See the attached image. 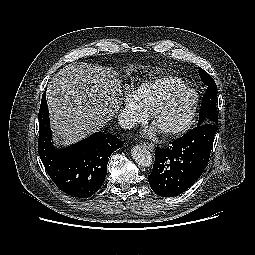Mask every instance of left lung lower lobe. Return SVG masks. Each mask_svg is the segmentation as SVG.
<instances>
[{
    "label": "left lung lower lobe",
    "instance_id": "0a47b994",
    "mask_svg": "<svg viewBox=\"0 0 255 255\" xmlns=\"http://www.w3.org/2000/svg\"><path fill=\"white\" fill-rule=\"evenodd\" d=\"M217 125L195 127L171 146L157 148L153 170L148 177L152 190L162 197L177 196L201 176L209 161Z\"/></svg>",
    "mask_w": 255,
    "mask_h": 255
}]
</instances>
